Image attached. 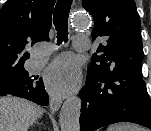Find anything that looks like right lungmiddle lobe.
Wrapping results in <instances>:
<instances>
[{
	"mask_svg": "<svg viewBox=\"0 0 151 131\" xmlns=\"http://www.w3.org/2000/svg\"><path fill=\"white\" fill-rule=\"evenodd\" d=\"M28 76H30L29 73L23 67L7 73L0 71V83H3V86L12 85Z\"/></svg>",
	"mask_w": 151,
	"mask_h": 131,
	"instance_id": "1",
	"label": "right lung middle lobe"
}]
</instances>
